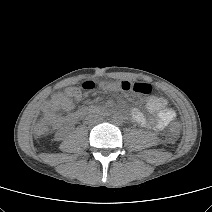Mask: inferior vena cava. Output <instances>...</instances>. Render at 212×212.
I'll use <instances>...</instances> for the list:
<instances>
[{
	"label": "inferior vena cava",
	"mask_w": 212,
	"mask_h": 212,
	"mask_svg": "<svg viewBox=\"0 0 212 212\" xmlns=\"http://www.w3.org/2000/svg\"><path fill=\"white\" fill-rule=\"evenodd\" d=\"M101 122V119L98 115H95V116H92V117H89L88 118V123L89 124H95V125H98L100 124Z\"/></svg>",
	"instance_id": "inferior-vena-cava-1"
}]
</instances>
